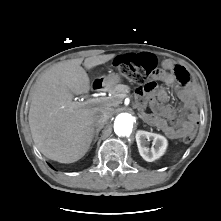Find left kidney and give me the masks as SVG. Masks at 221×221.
<instances>
[{
	"label": "left kidney",
	"mask_w": 221,
	"mask_h": 221,
	"mask_svg": "<svg viewBox=\"0 0 221 221\" xmlns=\"http://www.w3.org/2000/svg\"><path fill=\"white\" fill-rule=\"evenodd\" d=\"M150 140H153L151 149L146 146L147 141ZM136 142L140 155L147 162H153L160 158L165 153L168 145L167 139L164 136L142 130L136 133Z\"/></svg>",
	"instance_id": "left-kidney-1"
}]
</instances>
